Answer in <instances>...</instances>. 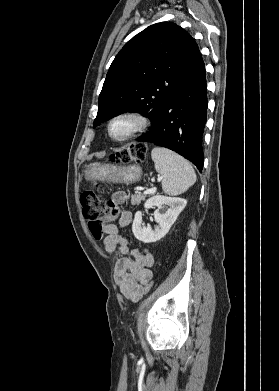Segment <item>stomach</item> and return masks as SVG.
<instances>
[{"label":"stomach","mask_w":279,"mask_h":391,"mask_svg":"<svg viewBox=\"0 0 279 391\" xmlns=\"http://www.w3.org/2000/svg\"><path fill=\"white\" fill-rule=\"evenodd\" d=\"M84 173L87 181L99 180L113 183H134L140 179L142 169L139 165L115 166L95 162L87 166Z\"/></svg>","instance_id":"stomach-1"}]
</instances>
